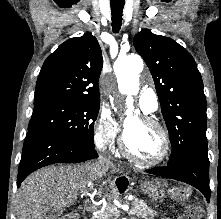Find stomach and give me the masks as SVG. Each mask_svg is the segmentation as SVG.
Instances as JSON below:
<instances>
[{"instance_id":"stomach-1","label":"stomach","mask_w":221,"mask_h":219,"mask_svg":"<svg viewBox=\"0 0 221 219\" xmlns=\"http://www.w3.org/2000/svg\"><path fill=\"white\" fill-rule=\"evenodd\" d=\"M144 181L141 185V189L148 196V199H169V194H167V190H165L167 184L164 178H145Z\"/></svg>"}]
</instances>
